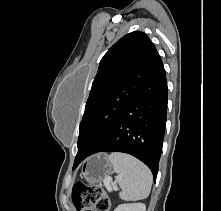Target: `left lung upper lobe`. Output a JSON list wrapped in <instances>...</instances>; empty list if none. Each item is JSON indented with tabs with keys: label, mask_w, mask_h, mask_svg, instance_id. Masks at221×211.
Returning <instances> with one entry per match:
<instances>
[{
	"label": "left lung upper lobe",
	"mask_w": 221,
	"mask_h": 211,
	"mask_svg": "<svg viewBox=\"0 0 221 211\" xmlns=\"http://www.w3.org/2000/svg\"><path fill=\"white\" fill-rule=\"evenodd\" d=\"M158 57L154 44L140 31L122 37L103 56L79 126L74 165L112 128Z\"/></svg>",
	"instance_id": "left-lung-upper-lobe-1"
}]
</instances>
